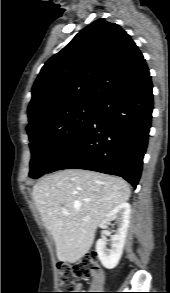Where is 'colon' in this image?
Instances as JSON below:
<instances>
[{"instance_id":"1","label":"colon","mask_w":170,"mask_h":293,"mask_svg":"<svg viewBox=\"0 0 170 293\" xmlns=\"http://www.w3.org/2000/svg\"><path fill=\"white\" fill-rule=\"evenodd\" d=\"M97 260L96 253H89L73 265H62L59 271V282L63 292L61 293H81L72 292L77 289L76 281L85 280L93 275L95 263Z\"/></svg>"}]
</instances>
